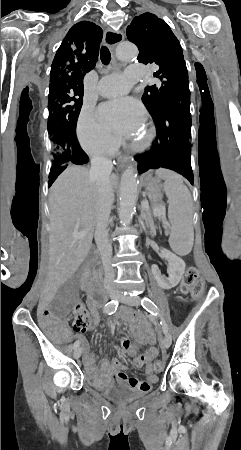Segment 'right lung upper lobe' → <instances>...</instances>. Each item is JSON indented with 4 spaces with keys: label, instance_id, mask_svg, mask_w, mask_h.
Masks as SVG:
<instances>
[{
    "label": "right lung upper lobe",
    "instance_id": "obj_1",
    "mask_svg": "<svg viewBox=\"0 0 241 450\" xmlns=\"http://www.w3.org/2000/svg\"><path fill=\"white\" fill-rule=\"evenodd\" d=\"M102 35V29L92 22L72 26L54 57L49 90L60 85L83 89L85 74L96 65Z\"/></svg>",
    "mask_w": 241,
    "mask_h": 450
}]
</instances>
